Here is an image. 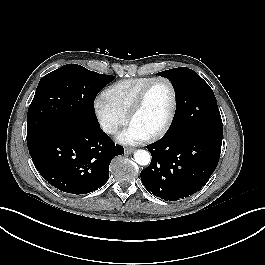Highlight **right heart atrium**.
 <instances>
[{
  "label": "right heart atrium",
  "mask_w": 265,
  "mask_h": 265,
  "mask_svg": "<svg viewBox=\"0 0 265 265\" xmlns=\"http://www.w3.org/2000/svg\"><path fill=\"white\" fill-rule=\"evenodd\" d=\"M94 115L100 128L108 135H115L127 123V116L111 106L103 97L93 104Z\"/></svg>",
  "instance_id": "d8ad5b80"
}]
</instances>
